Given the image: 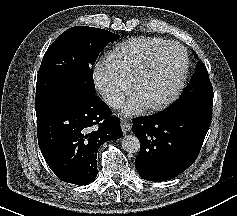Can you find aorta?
Returning a JSON list of instances; mask_svg holds the SVG:
<instances>
[{
    "instance_id": "aorta-1",
    "label": "aorta",
    "mask_w": 237,
    "mask_h": 216,
    "mask_svg": "<svg viewBox=\"0 0 237 216\" xmlns=\"http://www.w3.org/2000/svg\"><path fill=\"white\" fill-rule=\"evenodd\" d=\"M122 149L128 153H138L140 151V141L132 134H125L121 139Z\"/></svg>"
}]
</instances>
